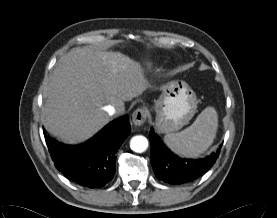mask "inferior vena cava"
<instances>
[{
	"instance_id": "602c4592",
	"label": "inferior vena cava",
	"mask_w": 277,
	"mask_h": 218,
	"mask_svg": "<svg viewBox=\"0 0 277 218\" xmlns=\"http://www.w3.org/2000/svg\"><path fill=\"white\" fill-rule=\"evenodd\" d=\"M105 110L107 111V113L109 115H114V114L120 115V114H123L125 111L123 106L118 107V108H116L114 106H107L105 108Z\"/></svg>"
}]
</instances>
